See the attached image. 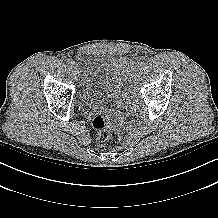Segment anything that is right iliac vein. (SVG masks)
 Wrapping results in <instances>:
<instances>
[{
    "label": "right iliac vein",
    "mask_w": 218,
    "mask_h": 218,
    "mask_svg": "<svg viewBox=\"0 0 218 218\" xmlns=\"http://www.w3.org/2000/svg\"><path fill=\"white\" fill-rule=\"evenodd\" d=\"M72 72L74 73V75H75L76 77L78 76V71H77L76 65H73V66H72Z\"/></svg>",
    "instance_id": "1"
}]
</instances>
